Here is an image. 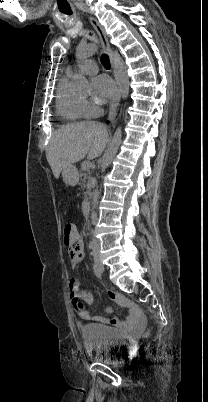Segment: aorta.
<instances>
[{
    "mask_svg": "<svg viewBox=\"0 0 208 402\" xmlns=\"http://www.w3.org/2000/svg\"><path fill=\"white\" fill-rule=\"evenodd\" d=\"M110 60L113 62L114 66V74L116 78V82L120 88L121 96L123 100H126L128 98L129 94V78L127 76V68L118 52H111L109 54ZM121 138H122V130L121 128H117L112 140L111 144H109L105 156H104V164L105 166H110L111 162H113L118 150L119 146L121 144ZM97 185H100V182H97ZM94 198H93V206H92V214L88 218V221L90 223H93L95 221L94 216V210L97 206L98 202V196L101 194V191L99 190V186H96V190L94 191ZM88 233H91V230H88Z\"/></svg>",
    "mask_w": 208,
    "mask_h": 402,
    "instance_id": "1",
    "label": "aorta"
}]
</instances>
